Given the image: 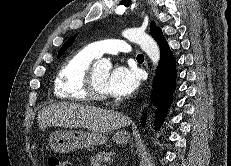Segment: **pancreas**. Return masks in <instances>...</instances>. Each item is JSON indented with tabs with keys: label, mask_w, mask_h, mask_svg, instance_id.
<instances>
[{
	"label": "pancreas",
	"mask_w": 231,
	"mask_h": 166,
	"mask_svg": "<svg viewBox=\"0 0 231 166\" xmlns=\"http://www.w3.org/2000/svg\"><path fill=\"white\" fill-rule=\"evenodd\" d=\"M109 152H99L91 157V165L92 166H106L102 164L105 161V158L109 157Z\"/></svg>",
	"instance_id": "obj_1"
}]
</instances>
